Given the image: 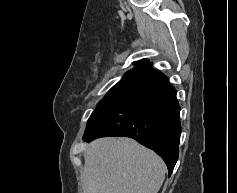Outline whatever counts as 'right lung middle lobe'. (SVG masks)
<instances>
[{
    "label": "right lung middle lobe",
    "instance_id": "obj_1",
    "mask_svg": "<svg viewBox=\"0 0 237 193\" xmlns=\"http://www.w3.org/2000/svg\"><path fill=\"white\" fill-rule=\"evenodd\" d=\"M144 72L145 71H132L126 73V75L113 86L98 103L91 116L113 107L128 97V95L140 85Z\"/></svg>",
    "mask_w": 237,
    "mask_h": 193
}]
</instances>
